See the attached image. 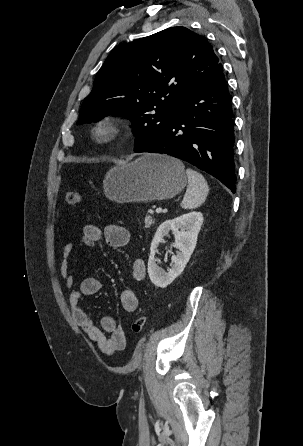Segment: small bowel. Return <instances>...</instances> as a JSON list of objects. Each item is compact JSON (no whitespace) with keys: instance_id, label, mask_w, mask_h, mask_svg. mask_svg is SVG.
I'll return each instance as SVG.
<instances>
[{"instance_id":"c3829d8e","label":"small bowel","mask_w":303,"mask_h":446,"mask_svg":"<svg viewBox=\"0 0 303 446\" xmlns=\"http://www.w3.org/2000/svg\"><path fill=\"white\" fill-rule=\"evenodd\" d=\"M104 239L113 248H122L130 240V232L118 224H109L101 230L94 224H87L83 228L81 243L87 247H93L95 243ZM74 250L72 242H66L62 248L63 259L60 266V274L64 279L67 288L72 289L74 278L70 269V258ZM146 276V264L143 259H135L132 264V278L141 281ZM101 282L95 276L85 277L79 284L78 289L71 291L69 304L72 316L82 331L88 338L96 343L100 351L113 356L116 352L124 350L127 345L126 334L121 329L116 319L111 315H104L100 319V326H96L93 320L83 308L81 298L98 293L101 289ZM123 309L127 312H135L139 305L136 293L131 289H125L120 295Z\"/></svg>"}]
</instances>
